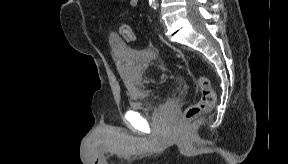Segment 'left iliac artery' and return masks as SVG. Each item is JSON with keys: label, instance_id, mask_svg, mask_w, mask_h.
Here are the masks:
<instances>
[{"label": "left iliac artery", "instance_id": "left-iliac-artery-1", "mask_svg": "<svg viewBox=\"0 0 288 164\" xmlns=\"http://www.w3.org/2000/svg\"><path fill=\"white\" fill-rule=\"evenodd\" d=\"M149 4L150 6H152V8L156 9L158 7V3L157 0H149Z\"/></svg>", "mask_w": 288, "mask_h": 164}]
</instances>
